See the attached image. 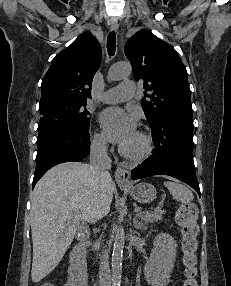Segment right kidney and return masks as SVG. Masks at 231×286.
Returning <instances> with one entry per match:
<instances>
[{
	"label": "right kidney",
	"instance_id": "1",
	"mask_svg": "<svg viewBox=\"0 0 231 286\" xmlns=\"http://www.w3.org/2000/svg\"><path fill=\"white\" fill-rule=\"evenodd\" d=\"M69 263L68 279L65 286H87V264L85 258L79 256L77 251L73 249Z\"/></svg>",
	"mask_w": 231,
	"mask_h": 286
}]
</instances>
